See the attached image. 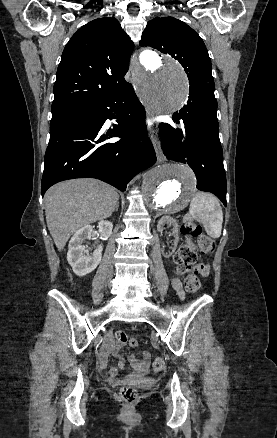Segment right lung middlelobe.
Instances as JSON below:
<instances>
[{
	"instance_id": "obj_1",
	"label": "right lung middle lobe",
	"mask_w": 277,
	"mask_h": 438,
	"mask_svg": "<svg viewBox=\"0 0 277 438\" xmlns=\"http://www.w3.org/2000/svg\"><path fill=\"white\" fill-rule=\"evenodd\" d=\"M84 109H76V110H64V111H55L52 112V119L50 123V130L54 129L67 119L72 116L82 112Z\"/></svg>"
}]
</instances>
